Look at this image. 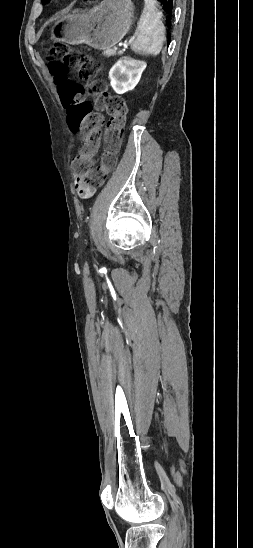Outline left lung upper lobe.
I'll use <instances>...</instances> for the list:
<instances>
[{"label":"left lung upper lobe","mask_w":253,"mask_h":548,"mask_svg":"<svg viewBox=\"0 0 253 548\" xmlns=\"http://www.w3.org/2000/svg\"><path fill=\"white\" fill-rule=\"evenodd\" d=\"M48 0H42L43 3H46Z\"/></svg>","instance_id":"5c2ea615"}]
</instances>
